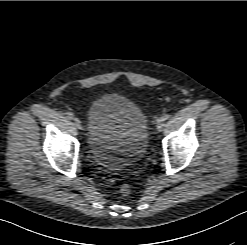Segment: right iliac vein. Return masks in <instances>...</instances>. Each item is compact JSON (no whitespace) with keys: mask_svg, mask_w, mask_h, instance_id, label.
I'll return each mask as SVG.
<instances>
[{"mask_svg":"<svg viewBox=\"0 0 247 245\" xmlns=\"http://www.w3.org/2000/svg\"><path fill=\"white\" fill-rule=\"evenodd\" d=\"M74 124L77 129H82L81 121L78 118H74Z\"/></svg>","mask_w":247,"mask_h":245,"instance_id":"obj_1","label":"right iliac vein"}]
</instances>
